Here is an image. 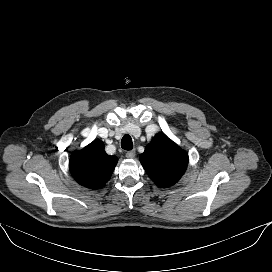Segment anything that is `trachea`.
I'll list each match as a JSON object with an SVG mask.
<instances>
[{
    "instance_id": "3493384b",
    "label": "trachea",
    "mask_w": 272,
    "mask_h": 272,
    "mask_svg": "<svg viewBox=\"0 0 272 272\" xmlns=\"http://www.w3.org/2000/svg\"><path fill=\"white\" fill-rule=\"evenodd\" d=\"M121 147L124 150H132L133 149V142L130 135L125 134L121 140Z\"/></svg>"
}]
</instances>
